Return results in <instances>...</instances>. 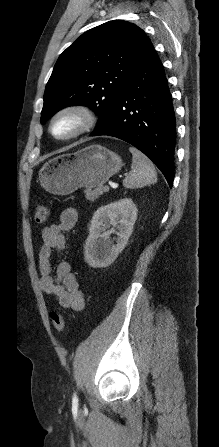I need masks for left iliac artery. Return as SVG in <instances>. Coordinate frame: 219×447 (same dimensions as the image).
<instances>
[{"mask_svg":"<svg viewBox=\"0 0 219 447\" xmlns=\"http://www.w3.org/2000/svg\"><path fill=\"white\" fill-rule=\"evenodd\" d=\"M73 401H77V397H76L75 394H74V397H73Z\"/></svg>","mask_w":219,"mask_h":447,"instance_id":"1","label":"left iliac artery"}]
</instances>
